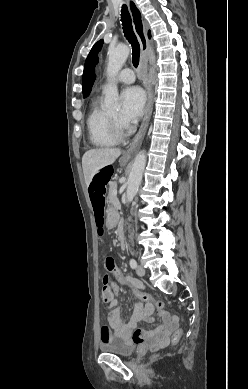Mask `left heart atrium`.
Here are the masks:
<instances>
[{"instance_id":"left-heart-atrium-1","label":"left heart atrium","mask_w":248,"mask_h":389,"mask_svg":"<svg viewBox=\"0 0 248 389\" xmlns=\"http://www.w3.org/2000/svg\"><path fill=\"white\" fill-rule=\"evenodd\" d=\"M121 101L122 107L119 120L124 126H129L143 114L145 106L144 92L136 86L127 87L121 93Z\"/></svg>"}]
</instances>
